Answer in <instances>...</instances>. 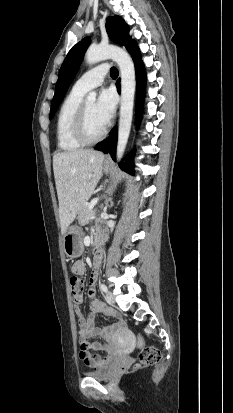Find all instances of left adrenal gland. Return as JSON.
<instances>
[{
  "label": "left adrenal gland",
  "mask_w": 233,
  "mask_h": 413,
  "mask_svg": "<svg viewBox=\"0 0 233 413\" xmlns=\"http://www.w3.org/2000/svg\"><path fill=\"white\" fill-rule=\"evenodd\" d=\"M109 207H110V208H111V207H113V203H112V202H111V204H110V206H109Z\"/></svg>",
  "instance_id": "obj_1"
}]
</instances>
